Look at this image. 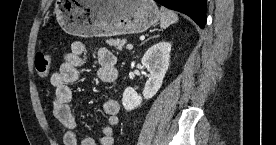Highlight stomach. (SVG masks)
<instances>
[{
    "label": "stomach",
    "mask_w": 276,
    "mask_h": 145,
    "mask_svg": "<svg viewBox=\"0 0 276 145\" xmlns=\"http://www.w3.org/2000/svg\"><path fill=\"white\" fill-rule=\"evenodd\" d=\"M53 15L65 32L85 38L142 33L160 19L153 0H59Z\"/></svg>",
    "instance_id": "obj_1"
}]
</instances>
